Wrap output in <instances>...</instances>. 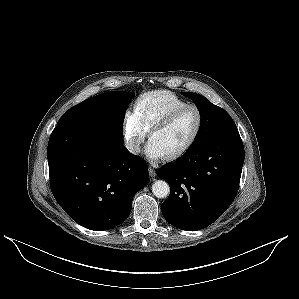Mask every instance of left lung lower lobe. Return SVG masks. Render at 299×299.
<instances>
[{"mask_svg": "<svg viewBox=\"0 0 299 299\" xmlns=\"http://www.w3.org/2000/svg\"><path fill=\"white\" fill-rule=\"evenodd\" d=\"M243 162V143L235 123H231L159 169L158 177L171 189L161 205L164 218L187 231L208 227L234 200Z\"/></svg>", "mask_w": 299, "mask_h": 299, "instance_id": "obj_1", "label": "left lung lower lobe"}]
</instances>
